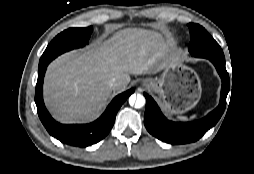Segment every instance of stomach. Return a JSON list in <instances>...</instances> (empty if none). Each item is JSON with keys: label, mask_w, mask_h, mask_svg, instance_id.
Returning <instances> with one entry per match:
<instances>
[{"label": "stomach", "mask_w": 254, "mask_h": 174, "mask_svg": "<svg viewBox=\"0 0 254 174\" xmlns=\"http://www.w3.org/2000/svg\"><path fill=\"white\" fill-rule=\"evenodd\" d=\"M147 81L148 89L160 96L162 106L171 114L191 110L201 98L202 88L197 73L175 57L164 64L159 78Z\"/></svg>", "instance_id": "obj_1"}]
</instances>
